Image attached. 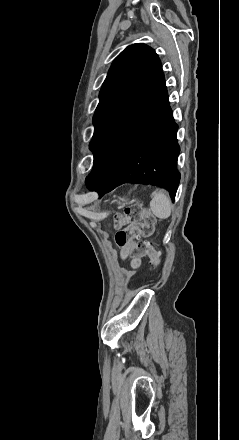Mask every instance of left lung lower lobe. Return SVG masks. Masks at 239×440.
<instances>
[{
  "label": "left lung lower lobe",
  "mask_w": 239,
  "mask_h": 440,
  "mask_svg": "<svg viewBox=\"0 0 239 440\" xmlns=\"http://www.w3.org/2000/svg\"><path fill=\"white\" fill-rule=\"evenodd\" d=\"M177 129L161 73L97 145L87 187L102 197L123 183L158 182L174 200L180 180Z\"/></svg>",
  "instance_id": "1"
}]
</instances>
